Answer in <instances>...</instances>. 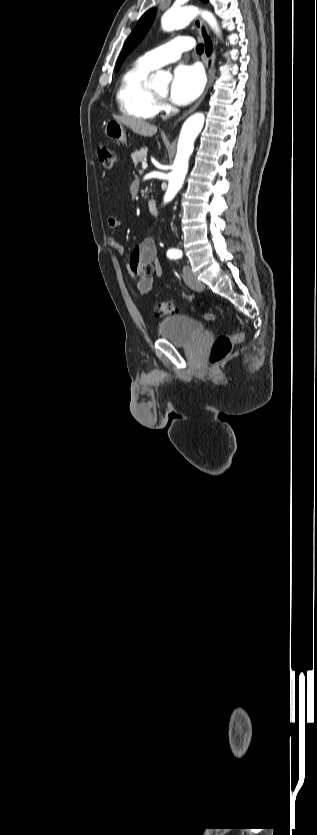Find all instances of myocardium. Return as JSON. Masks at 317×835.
Here are the masks:
<instances>
[{
  "label": "myocardium",
  "mask_w": 317,
  "mask_h": 835,
  "mask_svg": "<svg viewBox=\"0 0 317 835\" xmlns=\"http://www.w3.org/2000/svg\"><path fill=\"white\" fill-rule=\"evenodd\" d=\"M152 92H153L154 96H155L158 100H162V99L164 98V96H163V95H160V94H158V93H157V92H155V91H152Z\"/></svg>",
  "instance_id": "1"
}]
</instances>
